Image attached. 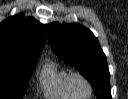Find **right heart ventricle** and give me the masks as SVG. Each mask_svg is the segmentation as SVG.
<instances>
[{"label": "right heart ventricle", "mask_w": 128, "mask_h": 99, "mask_svg": "<svg viewBox=\"0 0 128 99\" xmlns=\"http://www.w3.org/2000/svg\"><path fill=\"white\" fill-rule=\"evenodd\" d=\"M69 75L70 72L56 62H48L40 77L44 96L49 99H75L69 88Z\"/></svg>", "instance_id": "1"}]
</instances>
